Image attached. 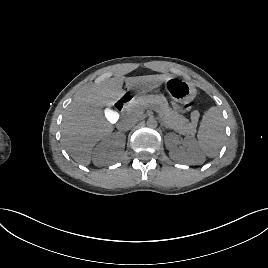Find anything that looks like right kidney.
<instances>
[{
    "label": "right kidney",
    "mask_w": 268,
    "mask_h": 268,
    "mask_svg": "<svg viewBox=\"0 0 268 268\" xmlns=\"http://www.w3.org/2000/svg\"><path fill=\"white\" fill-rule=\"evenodd\" d=\"M126 136L115 133L104 138L92 153L94 165L102 167L117 162L122 156L125 148Z\"/></svg>",
    "instance_id": "ca27d5eb"
}]
</instances>
